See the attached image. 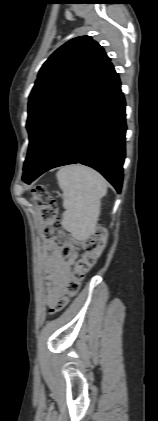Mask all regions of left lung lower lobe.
<instances>
[{
	"instance_id": "left-lung-lower-lobe-1",
	"label": "left lung lower lobe",
	"mask_w": 158,
	"mask_h": 421,
	"mask_svg": "<svg viewBox=\"0 0 158 421\" xmlns=\"http://www.w3.org/2000/svg\"><path fill=\"white\" fill-rule=\"evenodd\" d=\"M112 64L101 67L72 97L46 131L24 168L30 183L54 167L81 163L121 192L125 158V100Z\"/></svg>"
}]
</instances>
